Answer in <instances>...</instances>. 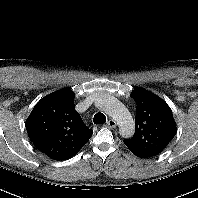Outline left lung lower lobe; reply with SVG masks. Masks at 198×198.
Segmentation results:
<instances>
[{"label":"left lung lower lobe","instance_id":"left-lung-lower-lobe-1","mask_svg":"<svg viewBox=\"0 0 198 198\" xmlns=\"http://www.w3.org/2000/svg\"><path fill=\"white\" fill-rule=\"evenodd\" d=\"M136 156H138L140 158H148V157H144V156H141V155H136Z\"/></svg>","mask_w":198,"mask_h":198}]
</instances>
